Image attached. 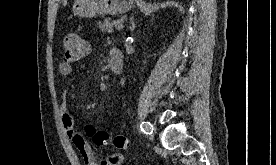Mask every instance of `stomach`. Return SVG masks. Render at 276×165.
<instances>
[{
    "label": "stomach",
    "instance_id": "0dacf381",
    "mask_svg": "<svg viewBox=\"0 0 276 165\" xmlns=\"http://www.w3.org/2000/svg\"><path fill=\"white\" fill-rule=\"evenodd\" d=\"M133 0H75L72 12L75 16L90 18L96 15H118L129 11Z\"/></svg>",
    "mask_w": 276,
    "mask_h": 165
}]
</instances>
